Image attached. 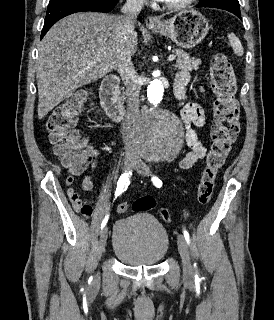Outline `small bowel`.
Here are the masks:
<instances>
[{"label":"small bowel","mask_w":274,"mask_h":320,"mask_svg":"<svg viewBox=\"0 0 274 320\" xmlns=\"http://www.w3.org/2000/svg\"><path fill=\"white\" fill-rule=\"evenodd\" d=\"M190 81L187 72H179L175 78L174 93L180 100L186 97V86ZM181 117L185 125V142L190 151L182 158L179 166L183 170L190 169L198 161L205 158L207 149L203 145L195 128H203L206 125V114L202 103L186 102L181 110ZM84 161H88V168H80L76 174H81L87 170L82 180L81 188L83 191H91L94 187L93 177L100 165V151L96 148L87 149ZM76 212L86 219L93 214V208L87 198L80 196L69 198Z\"/></svg>","instance_id":"c3829d8e"}]
</instances>
